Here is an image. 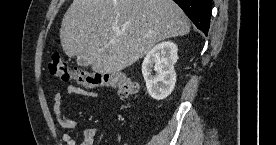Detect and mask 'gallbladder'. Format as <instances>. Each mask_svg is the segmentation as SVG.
<instances>
[{"mask_svg": "<svg viewBox=\"0 0 276 145\" xmlns=\"http://www.w3.org/2000/svg\"><path fill=\"white\" fill-rule=\"evenodd\" d=\"M77 64L79 66H82V67H87V66L90 65V63L88 62V60L83 55H79L77 57Z\"/></svg>", "mask_w": 276, "mask_h": 145, "instance_id": "1", "label": "gallbladder"}]
</instances>
